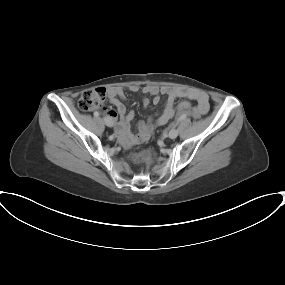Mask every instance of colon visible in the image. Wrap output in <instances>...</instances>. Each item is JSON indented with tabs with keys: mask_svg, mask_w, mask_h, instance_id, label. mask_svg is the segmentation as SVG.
Returning a JSON list of instances; mask_svg holds the SVG:
<instances>
[{
	"mask_svg": "<svg viewBox=\"0 0 285 285\" xmlns=\"http://www.w3.org/2000/svg\"><path fill=\"white\" fill-rule=\"evenodd\" d=\"M106 99V91L103 88H95L84 91L79 100L78 106L82 111H92L99 109L103 106ZM187 112L195 119H199L202 116V111L198 107L188 108ZM156 154L154 150L148 148L138 151L132 155V159L135 162L150 165L155 160Z\"/></svg>",
	"mask_w": 285,
	"mask_h": 285,
	"instance_id": "5ec220e1",
	"label": "colon"
}]
</instances>
